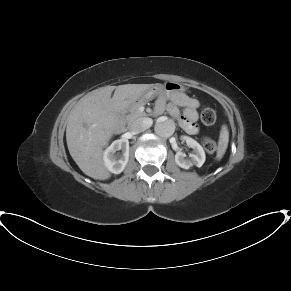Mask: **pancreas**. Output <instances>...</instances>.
Listing matches in <instances>:
<instances>
[{
	"label": "pancreas",
	"instance_id": "1",
	"mask_svg": "<svg viewBox=\"0 0 291 291\" xmlns=\"http://www.w3.org/2000/svg\"><path fill=\"white\" fill-rule=\"evenodd\" d=\"M145 105V100L141 99L136 103H133L127 108L126 119L128 122H132L140 117L146 116L145 112L140 111V107Z\"/></svg>",
	"mask_w": 291,
	"mask_h": 291
}]
</instances>
